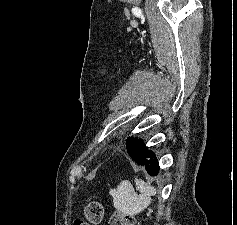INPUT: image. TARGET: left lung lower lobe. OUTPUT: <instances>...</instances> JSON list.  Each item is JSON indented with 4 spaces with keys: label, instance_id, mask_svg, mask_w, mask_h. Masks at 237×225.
<instances>
[{
    "label": "left lung lower lobe",
    "instance_id": "1",
    "mask_svg": "<svg viewBox=\"0 0 237 225\" xmlns=\"http://www.w3.org/2000/svg\"><path fill=\"white\" fill-rule=\"evenodd\" d=\"M126 149L129 156L139 165H143L151 176L158 175V160L153 151L148 150L141 139L128 137Z\"/></svg>",
    "mask_w": 237,
    "mask_h": 225
}]
</instances>
